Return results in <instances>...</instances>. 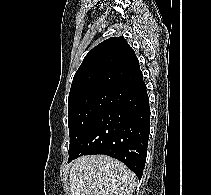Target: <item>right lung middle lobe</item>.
<instances>
[{"mask_svg": "<svg viewBox=\"0 0 211 195\" xmlns=\"http://www.w3.org/2000/svg\"><path fill=\"white\" fill-rule=\"evenodd\" d=\"M112 92L113 91L107 89H92L69 96V153L73 151L96 117L105 107Z\"/></svg>", "mask_w": 211, "mask_h": 195, "instance_id": "1", "label": "right lung middle lobe"}]
</instances>
